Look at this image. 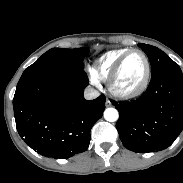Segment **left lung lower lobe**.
<instances>
[{
    "label": "left lung lower lobe",
    "mask_w": 183,
    "mask_h": 183,
    "mask_svg": "<svg viewBox=\"0 0 183 183\" xmlns=\"http://www.w3.org/2000/svg\"><path fill=\"white\" fill-rule=\"evenodd\" d=\"M120 116L116 128L123 145L137 153L168 148L183 130V74L180 67L151 77L136 100L112 101Z\"/></svg>",
    "instance_id": "1"
}]
</instances>
